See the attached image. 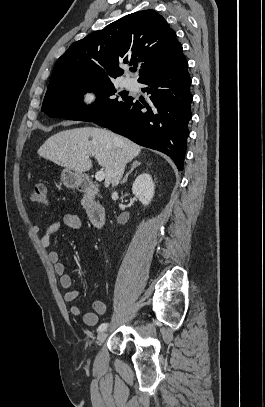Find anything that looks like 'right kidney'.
Segmentation results:
<instances>
[{"instance_id": "1", "label": "right kidney", "mask_w": 265, "mask_h": 407, "mask_svg": "<svg viewBox=\"0 0 265 407\" xmlns=\"http://www.w3.org/2000/svg\"><path fill=\"white\" fill-rule=\"evenodd\" d=\"M154 183L152 177L148 173L139 175L133 185L132 192L139 199V201L147 206L154 196Z\"/></svg>"}]
</instances>
